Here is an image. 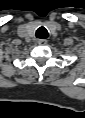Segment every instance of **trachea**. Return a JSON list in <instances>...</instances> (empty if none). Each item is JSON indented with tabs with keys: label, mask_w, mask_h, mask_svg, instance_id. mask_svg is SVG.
Returning a JSON list of instances; mask_svg holds the SVG:
<instances>
[{
	"label": "trachea",
	"mask_w": 85,
	"mask_h": 118,
	"mask_svg": "<svg viewBox=\"0 0 85 118\" xmlns=\"http://www.w3.org/2000/svg\"><path fill=\"white\" fill-rule=\"evenodd\" d=\"M48 36H49V33L45 27H39L36 30V37L37 38L46 39V38H48Z\"/></svg>",
	"instance_id": "obj_1"
}]
</instances>
